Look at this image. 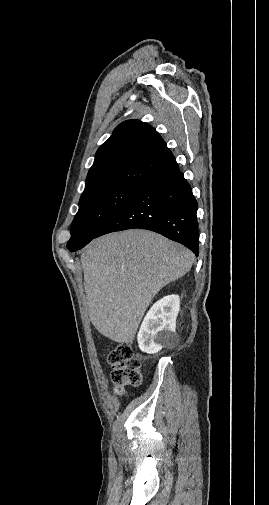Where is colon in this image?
I'll return each instance as SVG.
<instances>
[{"label":"colon","instance_id":"5ec220e1","mask_svg":"<svg viewBox=\"0 0 269 505\" xmlns=\"http://www.w3.org/2000/svg\"><path fill=\"white\" fill-rule=\"evenodd\" d=\"M107 361L111 367V380L118 393L123 394L126 386L140 384L141 362L129 344H118L108 353Z\"/></svg>","mask_w":269,"mask_h":505}]
</instances>
